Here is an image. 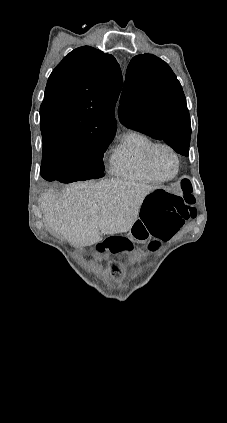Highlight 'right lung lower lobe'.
Returning a JSON list of instances; mask_svg holds the SVG:
<instances>
[{"mask_svg":"<svg viewBox=\"0 0 227 423\" xmlns=\"http://www.w3.org/2000/svg\"><path fill=\"white\" fill-rule=\"evenodd\" d=\"M41 176L47 181H59L62 183L75 182L71 178V171L68 166H63L55 162H42Z\"/></svg>","mask_w":227,"mask_h":423,"instance_id":"obj_1","label":"right lung lower lobe"}]
</instances>
